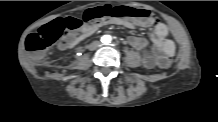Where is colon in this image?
<instances>
[{"instance_id": "5ec220e1", "label": "colon", "mask_w": 218, "mask_h": 122, "mask_svg": "<svg viewBox=\"0 0 218 122\" xmlns=\"http://www.w3.org/2000/svg\"><path fill=\"white\" fill-rule=\"evenodd\" d=\"M136 18V23L143 28L154 25V17L144 7L128 6L127 4L104 3L98 6H89L81 11V20L91 23L93 20L106 18ZM80 22L74 15H65L57 20L48 22L47 27L41 29L38 35H29L25 39V48L31 53H37L42 48H48L80 27ZM172 65L169 57L158 60V67L168 69Z\"/></svg>"}]
</instances>
